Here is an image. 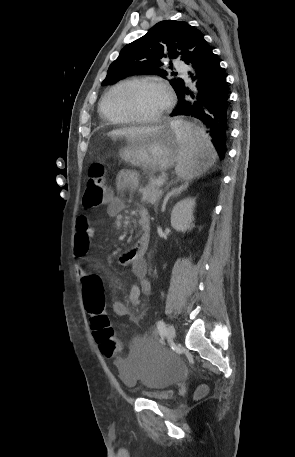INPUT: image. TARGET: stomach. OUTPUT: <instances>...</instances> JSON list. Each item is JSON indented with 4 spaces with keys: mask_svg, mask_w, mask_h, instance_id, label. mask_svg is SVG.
Wrapping results in <instances>:
<instances>
[{
    "mask_svg": "<svg viewBox=\"0 0 295 457\" xmlns=\"http://www.w3.org/2000/svg\"><path fill=\"white\" fill-rule=\"evenodd\" d=\"M119 156L146 172L164 171L179 160L177 133L171 124L165 123L152 135L143 139L127 140L126 146L119 150ZM205 161L213 164L211 159Z\"/></svg>",
    "mask_w": 295,
    "mask_h": 457,
    "instance_id": "obj_1",
    "label": "stomach"
}]
</instances>
